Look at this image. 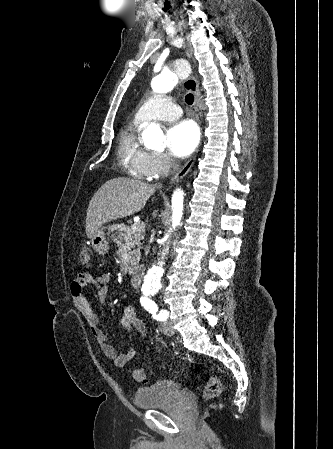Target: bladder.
Instances as JSON below:
<instances>
[{"label":"bladder","mask_w":333,"mask_h":449,"mask_svg":"<svg viewBox=\"0 0 333 449\" xmlns=\"http://www.w3.org/2000/svg\"><path fill=\"white\" fill-rule=\"evenodd\" d=\"M182 391L181 385L173 380H161L152 385L138 388L134 403L139 409L150 410L173 405Z\"/></svg>","instance_id":"obj_1"}]
</instances>
